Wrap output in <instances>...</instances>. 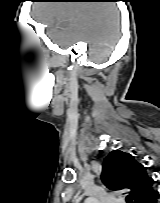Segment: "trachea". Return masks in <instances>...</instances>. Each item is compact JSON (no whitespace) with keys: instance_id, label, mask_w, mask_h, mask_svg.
<instances>
[{"instance_id":"trachea-1","label":"trachea","mask_w":160,"mask_h":203,"mask_svg":"<svg viewBox=\"0 0 160 203\" xmlns=\"http://www.w3.org/2000/svg\"><path fill=\"white\" fill-rule=\"evenodd\" d=\"M126 202H127V203H132V198H131V196H127V197H126Z\"/></svg>"}]
</instances>
